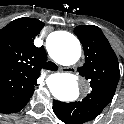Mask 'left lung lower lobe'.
<instances>
[{
    "mask_svg": "<svg viewBox=\"0 0 124 124\" xmlns=\"http://www.w3.org/2000/svg\"><path fill=\"white\" fill-rule=\"evenodd\" d=\"M53 111L56 114V116L61 120L59 102L57 100H54L53 102Z\"/></svg>",
    "mask_w": 124,
    "mask_h": 124,
    "instance_id": "obj_1",
    "label": "left lung lower lobe"
}]
</instances>
